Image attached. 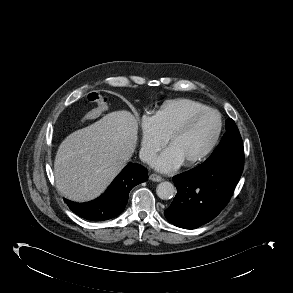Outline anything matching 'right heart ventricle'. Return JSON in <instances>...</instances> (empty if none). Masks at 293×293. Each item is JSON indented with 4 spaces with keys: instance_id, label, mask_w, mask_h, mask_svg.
Masks as SVG:
<instances>
[{
    "instance_id": "e07e8e85",
    "label": "right heart ventricle",
    "mask_w": 293,
    "mask_h": 293,
    "mask_svg": "<svg viewBox=\"0 0 293 293\" xmlns=\"http://www.w3.org/2000/svg\"><path fill=\"white\" fill-rule=\"evenodd\" d=\"M208 107L198 101L177 98L164 102L153 114L157 129L166 139L186 118Z\"/></svg>"
}]
</instances>
